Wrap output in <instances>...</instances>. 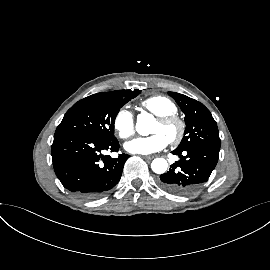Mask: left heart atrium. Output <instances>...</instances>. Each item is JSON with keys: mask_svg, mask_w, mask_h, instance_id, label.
Masks as SVG:
<instances>
[{"mask_svg": "<svg viewBox=\"0 0 270 270\" xmlns=\"http://www.w3.org/2000/svg\"><path fill=\"white\" fill-rule=\"evenodd\" d=\"M169 141L159 133L148 137H136L125 144L130 153L148 155L163 150Z\"/></svg>", "mask_w": 270, "mask_h": 270, "instance_id": "obj_1", "label": "left heart atrium"}]
</instances>
